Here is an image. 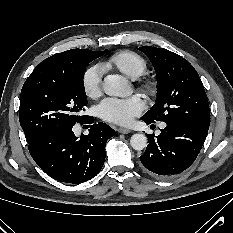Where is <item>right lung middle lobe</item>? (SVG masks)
<instances>
[{
    "label": "right lung middle lobe",
    "mask_w": 233,
    "mask_h": 233,
    "mask_svg": "<svg viewBox=\"0 0 233 233\" xmlns=\"http://www.w3.org/2000/svg\"><path fill=\"white\" fill-rule=\"evenodd\" d=\"M102 52H73L64 67L37 66L25 81L20 97L19 121L27 142L43 134L80 123L87 106L83 75L87 65Z\"/></svg>",
    "instance_id": "dd1d6c3e"
}]
</instances>
